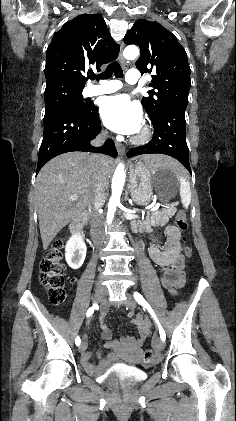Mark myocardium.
Instances as JSON below:
<instances>
[{
  "mask_svg": "<svg viewBox=\"0 0 236 421\" xmlns=\"http://www.w3.org/2000/svg\"><path fill=\"white\" fill-rule=\"evenodd\" d=\"M152 132L148 125L144 124L142 128L132 137V141L137 144L147 142L151 138Z\"/></svg>",
  "mask_w": 236,
  "mask_h": 421,
  "instance_id": "1",
  "label": "myocardium"
}]
</instances>
